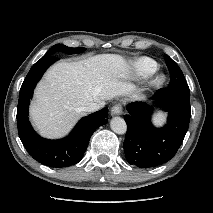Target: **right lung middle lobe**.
<instances>
[{
	"instance_id": "right-lung-middle-lobe-1",
	"label": "right lung middle lobe",
	"mask_w": 213,
	"mask_h": 213,
	"mask_svg": "<svg viewBox=\"0 0 213 213\" xmlns=\"http://www.w3.org/2000/svg\"><path fill=\"white\" fill-rule=\"evenodd\" d=\"M84 50H85V48H70V47H67V46L62 45V44H56V45L52 46L49 49V51L43 57L52 56L56 52H63V53H67V54H75V53L83 52Z\"/></svg>"
}]
</instances>
